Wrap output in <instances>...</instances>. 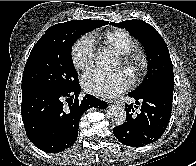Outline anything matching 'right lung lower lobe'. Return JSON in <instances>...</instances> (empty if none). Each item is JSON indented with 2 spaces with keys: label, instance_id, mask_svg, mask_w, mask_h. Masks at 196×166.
Listing matches in <instances>:
<instances>
[{
  "label": "right lung lower lobe",
  "instance_id": "obj_1",
  "mask_svg": "<svg viewBox=\"0 0 196 166\" xmlns=\"http://www.w3.org/2000/svg\"><path fill=\"white\" fill-rule=\"evenodd\" d=\"M80 91L79 85L68 92L46 87L22 90L21 114L25 131L40 150L57 153L72 146L78 136L82 114L91 107H107L106 102L89 94L79 101Z\"/></svg>",
  "mask_w": 196,
  "mask_h": 166
}]
</instances>
